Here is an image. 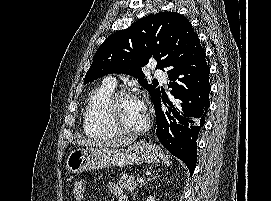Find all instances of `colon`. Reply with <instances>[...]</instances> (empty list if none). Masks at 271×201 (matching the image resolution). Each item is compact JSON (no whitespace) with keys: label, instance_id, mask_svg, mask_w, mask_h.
I'll use <instances>...</instances> for the list:
<instances>
[{"label":"colon","instance_id":"1","mask_svg":"<svg viewBox=\"0 0 271 201\" xmlns=\"http://www.w3.org/2000/svg\"><path fill=\"white\" fill-rule=\"evenodd\" d=\"M86 193V185L82 181H77L73 187L74 201H83Z\"/></svg>","mask_w":271,"mask_h":201}]
</instances>
